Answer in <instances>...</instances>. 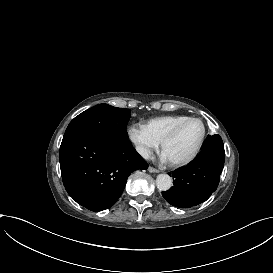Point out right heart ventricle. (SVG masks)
Masks as SVG:
<instances>
[{"instance_id":"e07e8e85","label":"right heart ventricle","mask_w":273,"mask_h":273,"mask_svg":"<svg viewBox=\"0 0 273 273\" xmlns=\"http://www.w3.org/2000/svg\"><path fill=\"white\" fill-rule=\"evenodd\" d=\"M188 115H170L161 116L148 120L146 122V129L152 138L159 143L162 138L171 130L177 123L187 119Z\"/></svg>"}]
</instances>
